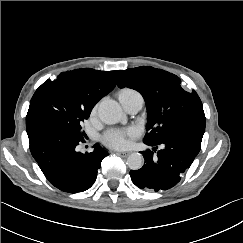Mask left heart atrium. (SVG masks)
I'll return each instance as SVG.
<instances>
[{
	"mask_svg": "<svg viewBox=\"0 0 243 243\" xmlns=\"http://www.w3.org/2000/svg\"><path fill=\"white\" fill-rule=\"evenodd\" d=\"M138 135L135 128L110 129L102 136V142L111 148L122 149L128 146L129 140Z\"/></svg>",
	"mask_w": 243,
	"mask_h": 243,
	"instance_id": "obj_1",
	"label": "left heart atrium"
}]
</instances>
